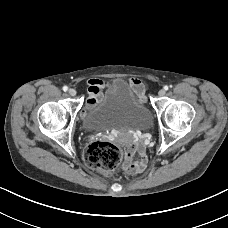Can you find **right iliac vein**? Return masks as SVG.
<instances>
[{"label":"right iliac vein","instance_id":"63e3f726","mask_svg":"<svg viewBox=\"0 0 228 228\" xmlns=\"http://www.w3.org/2000/svg\"><path fill=\"white\" fill-rule=\"evenodd\" d=\"M68 93H69V95H71V96H75V95H76V90H74V89H69Z\"/></svg>","mask_w":228,"mask_h":228}]
</instances>
